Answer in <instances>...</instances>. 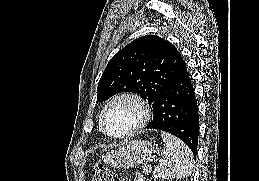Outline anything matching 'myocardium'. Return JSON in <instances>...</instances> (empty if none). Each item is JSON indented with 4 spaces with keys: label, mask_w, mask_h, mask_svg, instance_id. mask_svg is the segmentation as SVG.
I'll use <instances>...</instances> for the list:
<instances>
[{
    "label": "myocardium",
    "mask_w": 259,
    "mask_h": 181,
    "mask_svg": "<svg viewBox=\"0 0 259 181\" xmlns=\"http://www.w3.org/2000/svg\"><path fill=\"white\" fill-rule=\"evenodd\" d=\"M119 101H130L132 102L139 110V120L136 125L131 128L130 130L122 133V134H112L110 133L106 126H105V116L108 109L115 103ZM151 118V110L148 103L137 93L134 92H122L119 93L112 98H110L107 103L104 105L100 116H99V123L100 128L105 135L111 137L113 139H124L131 137L137 134L140 130H142L150 121Z\"/></svg>",
    "instance_id": "1"
}]
</instances>
